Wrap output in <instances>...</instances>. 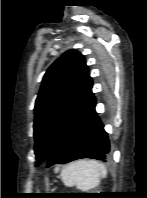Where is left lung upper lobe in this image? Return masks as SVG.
Returning a JSON list of instances; mask_svg holds the SVG:
<instances>
[{"label":"left lung upper lobe","instance_id":"5c2ea615","mask_svg":"<svg viewBox=\"0 0 147 198\" xmlns=\"http://www.w3.org/2000/svg\"><path fill=\"white\" fill-rule=\"evenodd\" d=\"M92 95L85 59L69 50L46 71L35 103L36 165L47 161L54 145Z\"/></svg>","mask_w":147,"mask_h":198}]
</instances>
